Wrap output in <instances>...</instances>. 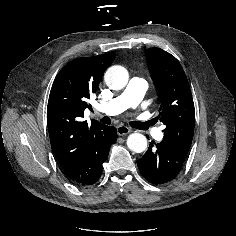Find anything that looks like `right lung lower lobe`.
<instances>
[{
    "instance_id": "obj_1",
    "label": "right lung lower lobe",
    "mask_w": 236,
    "mask_h": 236,
    "mask_svg": "<svg viewBox=\"0 0 236 236\" xmlns=\"http://www.w3.org/2000/svg\"><path fill=\"white\" fill-rule=\"evenodd\" d=\"M116 139V128L104 125L91 138L88 148L78 166L70 173H67L68 178L79 186L94 184L102 173V165L108 157L111 144Z\"/></svg>"
}]
</instances>
